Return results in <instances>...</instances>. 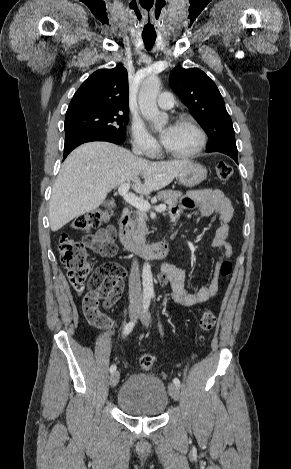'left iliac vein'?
Here are the masks:
<instances>
[{"label":"left iliac vein","mask_w":291,"mask_h":469,"mask_svg":"<svg viewBox=\"0 0 291 469\" xmlns=\"http://www.w3.org/2000/svg\"><path fill=\"white\" fill-rule=\"evenodd\" d=\"M141 321L145 326H148L150 323V313L147 312L144 316L141 317ZM169 392L171 397L178 401L180 397V390L179 387L173 383L169 385Z\"/></svg>","instance_id":"obj_1"}]
</instances>
